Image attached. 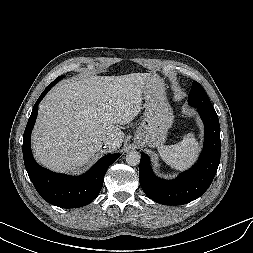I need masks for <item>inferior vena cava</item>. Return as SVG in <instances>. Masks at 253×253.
<instances>
[{
	"label": "inferior vena cava",
	"mask_w": 253,
	"mask_h": 253,
	"mask_svg": "<svg viewBox=\"0 0 253 253\" xmlns=\"http://www.w3.org/2000/svg\"><path fill=\"white\" fill-rule=\"evenodd\" d=\"M102 141L105 145H109L113 142V138L110 136H104Z\"/></svg>",
	"instance_id": "inferior-vena-cava-1"
}]
</instances>
